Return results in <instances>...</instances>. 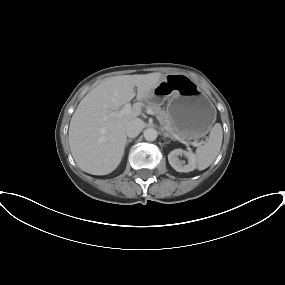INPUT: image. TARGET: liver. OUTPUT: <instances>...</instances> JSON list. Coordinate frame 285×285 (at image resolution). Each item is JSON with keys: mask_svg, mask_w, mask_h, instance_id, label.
<instances>
[{"mask_svg": "<svg viewBox=\"0 0 285 285\" xmlns=\"http://www.w3.org/2000/svg\"><path fill=\"white\" fill-rule=\"evenodd\" d=\"M161 79L159 72L110 77L81 100L69 126L70 150L81 170L107 175L118 167L127 141L126 126L140 115L142 101ZM135 96L138 102L129 114L114 115Z\"/></svg>", "mask_w": 285, "mask_h": 285, "instance_id": "obj_1", "label": "liver"}]
</instances>
